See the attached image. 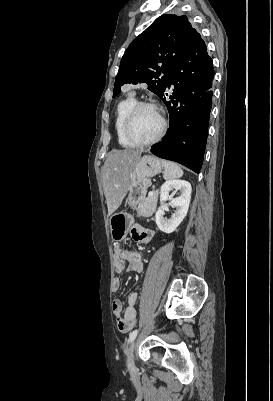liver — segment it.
Here are the masks:
<instances>
[{"mask_svg": "<svg viewBox=\"0 0 273 401\" xmlns=\"http://www.w3.org/2000/svg\"><path fill=\"white\" fill-rule=\"evenodd\" d=\"M141 156L140 150H116L113 148L102 168L103 188L106 196L108 215L120 207L130 184V172Z\"/></svg>", "mask_w": 273, "mask_h": 401, "instance_id": "obj_1", "label": "liver"}]
</instances>
